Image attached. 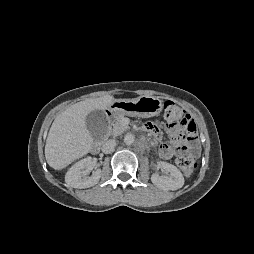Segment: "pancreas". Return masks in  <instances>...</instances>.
Here are the masks:
<instances>
[{
	"mask_svg": "<svg viewBox=\"0 0 254 254\" xmlns=\"http://www.w3.org/2000/svg\"><path fill=\"white\" fill-rule=\"evenodd\" d=\"M123 119H124L123 115H119L116 118L110 130L111 135L118 136L124 133L129 128L126 124H124Z\"/></svg>",
	"mask_w": 254,
	"mask_h": 254,
	"instance_id": "pancreas-1",
	"label": "pancreas"
}]
</instances>
